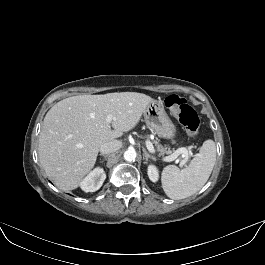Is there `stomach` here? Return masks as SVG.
<instances>
[{
    "label": "stomach",
    "mask_w": 265,
    "mask_h": 265,
    "mask_svg": "<svg viewBox=\"0 0 265 265\" xmlns=\"http://www.w3.org/2000/svg\"><path fill=\"white\" fill-rule=\"evenodd\" d=\"M144 119L154 134L167 139L174 137L175 126L165 112L161 101L153 100L147 106L144 111Z\"/></svg>",
    "instance_id": "obj_1"
}]
</instances>
